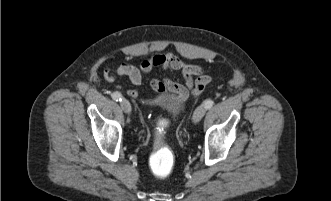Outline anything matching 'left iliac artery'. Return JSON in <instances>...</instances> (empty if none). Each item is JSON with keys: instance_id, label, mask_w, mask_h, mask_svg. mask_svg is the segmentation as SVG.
<instances>
[{"instance_id": "left-iliac-artery-1", "label": "left iliac artery", "mask_w": 331, "mask_h": 201, "mask_svg": "<svg viewBox=\"0 0 331 201\" xmlns=\"http://www.w3.org/2000/svg\"><path fill=\"white\" fill-rule=\"evenodd\" d=\"M214 102L212 100H206L204 106L206 109H210L213 106Z\"/></svg>"}]
</instances>
